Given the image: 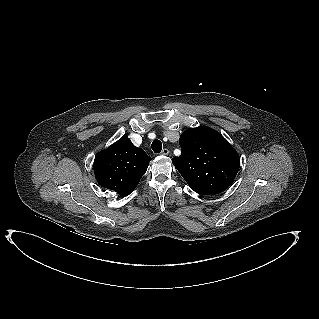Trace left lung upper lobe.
Instances as JSON below:
<instances>
[{
	"label": "left lung upper lobe",
	"instance_id": "1",
	"mask_svg": "<svg viewBox=\"0 0 319 319\" xmlns=\"http://www.w3.org/2000/svg\"><path fill=\"white\" fill-rule=\"evenodd\" d=\"M181 155L172 162L191 189L215 195L233 182L240 157L229 142L208 127L189 128L179 139Z\"/></svg>",
	"mask_w": 319,
	"mask_h": 319
}]
</instances>
